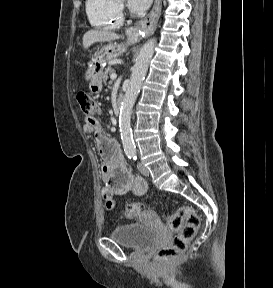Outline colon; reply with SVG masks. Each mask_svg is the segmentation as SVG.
<instances>
[{"mask_svg":"<svg viewBox=\"0 0 273 288\" xmlns=\"http://www.w3.org/2000/svg\"><path fill=\"white\" fill-rule=\"evenodd\" d=\"M77 100L85 114L92 116L99 112L97 103L87 93H79ZM141 209V204H129L125 207L124 215L129 219H133ZM165 223L176 235L168 246L157 252L155 261L159 265H168L186 252L189 243L198 231L200 217L192 207L184 205L179 207L173 214L165 216Z\"/></svg>","mask_w":273,"mask_h":288,"instance_id":"colon-1","label":"colon"}]
</instances>
